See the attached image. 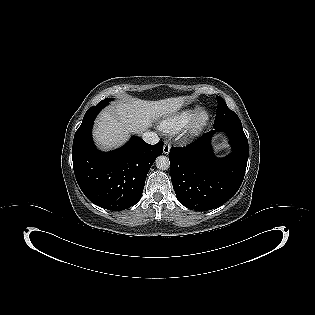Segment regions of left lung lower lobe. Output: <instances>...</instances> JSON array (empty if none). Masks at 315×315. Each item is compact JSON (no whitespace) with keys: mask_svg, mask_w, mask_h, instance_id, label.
<instances>
[{"mask_svg":"<svg viewBox=\"0 0 315 315\" xmlns=\"http://www.w3.org/2000/svg\"><path fill=\"white\" fill-rule=\"evenodd\" d=\"M216 131L226 132L232 146V152L224 158L215 157L211 148ZM169 160L178 201L190 209H213L238 191L247 166L248 140L242 126H222L186 147H172Z\"/></svg>","mask_w":315,"mask_h":315,"instance_id":"left-lung-lower-lobe-1","label":"left lung lower lobe"}]
</instances>
